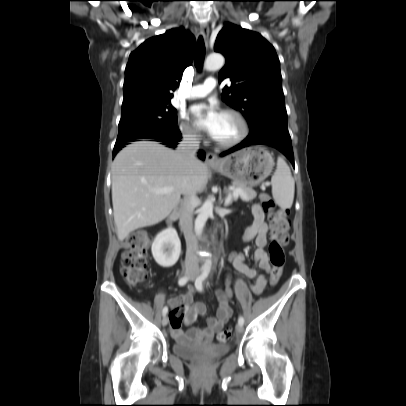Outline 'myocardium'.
I'll list each match as a JSON object with an SVG mask.
<instances>
[{
    "label": "myocardium",
    "mask_w": 406,
    "mask_h": 406,
    "mask_svg": "<svg viewBox=\"0 0 406 406\" xmlns=\"http://www.w3.org/2000/svg\"><path fill=\"white\" fill-rule=\"evenodd\" d=\"M221 113L231 115L232 117H234L240 126V132L237 137H235L234 139L229 140V141H219L215 138H213V140L219 147H222V148H230V147L236 146L239 143H241L248 136V134H249L248 123H247L246 119L244 118V116L235 109L225 108L222 110Z\"/></svg>",
    "instance_id": "1"
}]
</instances>
